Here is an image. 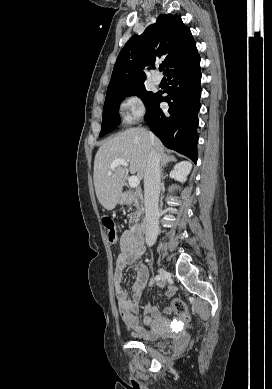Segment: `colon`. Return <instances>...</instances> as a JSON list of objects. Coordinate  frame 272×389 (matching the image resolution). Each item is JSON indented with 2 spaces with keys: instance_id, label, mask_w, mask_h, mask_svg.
<instances>
[{
  "instance_id": "5ec220e1",
  "label": "colon",
  "mask_w": 272,
  "mask_h": 389,
  "mask_svg": "<svg viewBox=\"0 0 272 389\" xmlns=\"http://www.w3.org/2000/svg\"><path fill=\"white\" fill-rule=\"evenodd\" d=\"M103 224L107 232L109 242L115 243L118 239L117 230L114 221L110 217L103 219ZM171 310L184 321L190 319V313L186 303L181 299H173L171 303Z\"/></svg>"
}]
</instances>
